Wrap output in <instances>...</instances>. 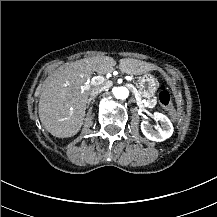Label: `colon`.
<instances>
[{"mask_svg":"<svg viewBox=\"0 0 217 217\" xmlns=\"http://www.w3.org/2000/svg\"><path fill=\"white\" fill-rule=\"evenodd\" d=\"M158 99L161 107L169 110L171 108V95L165 84H160L158 89Z\"/></svg>","mask_w":217,"mask_h":217,"instance_id":"5ec220e1","label":"colon"}]
</instances>
